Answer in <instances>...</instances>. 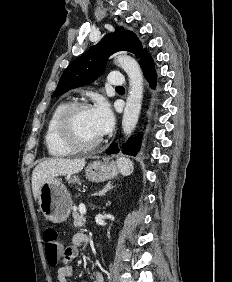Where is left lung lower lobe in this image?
Returning a JSON list of instances; mask_svg holds the SVG:
<instances>
[{
    "label": "left lung lower lobe",
    "mask_w": 232,
    "mask_h": 282,
    "mask_svg": "<svg viewBox=\"0 0 232 282\" xmlns=\"http://www.w3.org/2000/svg\"><path fill=\"white\" fill-rule=\"evenodd\" d=\"M139 64L144 72V75L150 85L152 87H155L156 82V73L154 69L153 59L151 56L147 53L146 49H144ZM140 140L141 137H139L137 140L135 139H129L125 144H123L122 149L123 152H125L128 155H136L137 152L140 149ZM119 152L118 145L116 143H112L110 147L106 150L107 154H116Z\"/></svg>",
    "instance_id": "left-lung-lower-lobe-1"
}]
</instances>
